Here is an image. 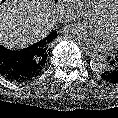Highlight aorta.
I'll use <instances>...</instances> for the list:
<instances>
[{"label": "aorta", "instance_id": "1", "mask_svg": "<svg viewBox=\"0 0 118 118\" xmlns=\"http://www.w3.org/2000/svg\"><path fill=\"white\" fill-rule=\"evenodd\" d=\"M77 16L82 20H90L94 15V5L90 1L81 2L76 10ZM90 67L95 72H102L107 68V60L102 55H95L90 60Z\"/></svg>", "mask_w": 118, "mask_h": 118}]
</instances>
